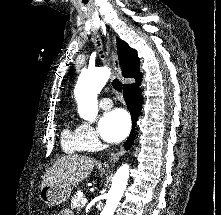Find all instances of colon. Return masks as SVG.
<instances>
[{"mask_svg":"<svg viewBox=\"0 0 221 215\" xmlns=\"http://www.w3.org/2000/svg\"><path fill=\"white\" fill-rule=\"evenodd\" d=\"M47 215H55V214H52V213H48Z\"/></svg>","mask_w":221,"mask_h":215,"instance_id":"colon-1","label":"colon"}]
</instances>
